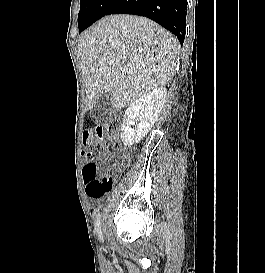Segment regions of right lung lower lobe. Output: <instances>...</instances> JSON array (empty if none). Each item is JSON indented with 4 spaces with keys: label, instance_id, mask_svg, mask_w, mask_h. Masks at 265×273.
I'll return each mask as SVG.
<instances>
[{
    "label": "right lung lower lobe",
    "instance_id": "obj_1",
    "mask_svg": "<svg viewBox=\"0 0 265 273\" xmlns=\"http://www.w3.org/2000/svg\"><path fill=\"white\" fill-rule=\"evenodd\" d=\"M133 14L148 17L177 36L185 39L187 0H116L106 15Z\"/></svg>",
    "mask_w": 265,
    "mask_h": 273
}]
</instances>
